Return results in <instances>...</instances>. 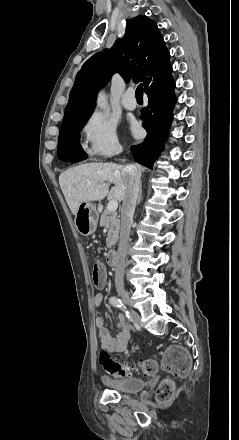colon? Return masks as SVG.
I'll return each instance as SVG.
<instances>
[{"label":"colon","instance_id":"colon-1","mask_svg":"<svg viewBox=\"0 0 239 440\" xmlns=\"http://www.w3.org/2000/svg\"><path fill=\"white\" fill-rule=\"evenodd\" d=\"M92 281L95 286L101 287L105 284V269L101 262L95 261L92 268ZM100 364L104 370L115 377H126L132 373L151 375L157 371V363L152 359L142 360L137 366H130L127 363H120L114 360L108 351L102 350L99 356ZM163 365L167 372L175 377H184L190 370V358L187 352L181 347H172L167 350L163 358ZM174 384L172 381H165L159 388V397L162 402H168L173 393Z\"/></svg>","mask_w":239,"mask_h":440}]
</instances>
